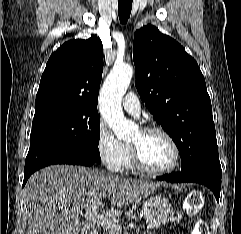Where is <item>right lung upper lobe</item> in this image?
<instances>
[{"label": "right lung upper lobe", "mask_w": 241, "mask_h": 234, "mask_svg": "<svg viewBox=\"0 0 241 234\" xmlns=\"http://www.w3.org/2000/svg\"><path fill=\"white\" fill-rule=\"evenodd\" d=\"M102 71L99 37L64 43L47 62L35 106L62 103L96 109Z\"/></svg>", "instance_id": "obj_1"}]
</instances>
